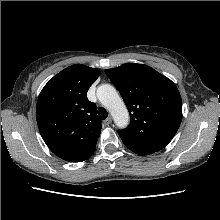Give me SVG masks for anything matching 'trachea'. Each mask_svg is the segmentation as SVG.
Wrapping results in <instances>:
<instances>
[{
  "instance_id": "3493384b",
  "label": "trachea",
  "mask_w": 220,
  "mask_h": 220,
  "mask_svg": "<svg viewBox=\"0 0 220 220\" xmlns=\"http://www.w3.org/2000/svg\"><path fill=\"white\" fill-rule=\"evenodd\" d=\"M98 115L101 119H106L108 117V112L103 107H100L98 109Z\"/></svg>"
}]
</instances>
